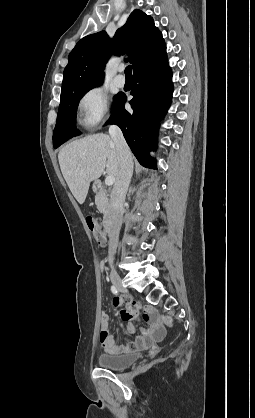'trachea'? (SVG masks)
Instances as JSON below:
<instances>
[{
    "label": "trachea",
    "mask_w": 255,
    "mask_h": 418,
    "mask_svg": "<svg viewBox=\"0 0 255 418\" xmlns=\"http://www.w3.org/2000/svg\"><path fill=\"white\" fill-rule=\"evenodd\" d=\"M125 76H126V77H131V76H132V66H131V65H128V66L125 68Z\"/></svg>",
    "instance_id": "obj_1"
}]
</instances>
